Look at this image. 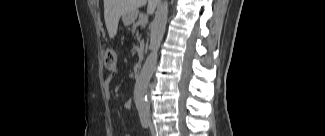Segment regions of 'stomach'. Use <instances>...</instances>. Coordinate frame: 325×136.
I'll return each instance as SVG.
<instances>
[{
  "instance_id": "obj_1",
  "label": "stomach",
  "mask_w": 325,
  "mask_h": 136,
  "mask_svg": "<svg viewBox=\"0 0 325 136\" xmlns=\"http://www.w3.org/2000/svg\"><path fill=\"white\" fill-rule=\"evenodd\" d=\"M136 17H137L136 13H130V14L123 16V21L126 24H131L132 22L135 21Z\"/></svg>"
}]
</instances>
